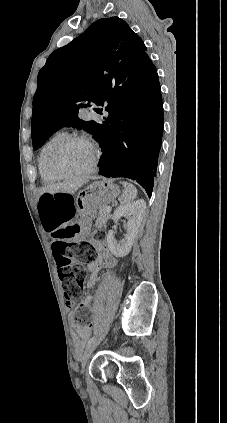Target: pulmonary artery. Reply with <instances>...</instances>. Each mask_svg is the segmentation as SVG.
I'll use <instances>...</instances> for the list:
<instances>
[{
	"instance_id": "pulmonary-artery-1",
	"label": "pulmonary artery",
	"mask_w": 227,
	"mask_h": 423,
	"mask_svg": "<svg viewBox=\"0 0 227 423\" xmlns=\"http://www.w3.org/2000/svg\"><path fill=\"white\" fill-rule=\"evenodd\" d=\"M80 119L81 120H92L98 119L97 115L93 114L92 111H81L80 112Z\"/></svg>"
}]
</instances>
